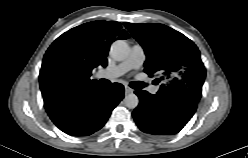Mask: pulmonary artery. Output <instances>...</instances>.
<instances>
[{
	"label": "pulmonary artery",
	"instance_id": "e3ab8cb5",
	"mask_svg": "<svg viewBox=\"0 0 248 158\" xmlns=\"http://www.w3.org/2000/svg\"><path fill=\"white\" fill-rule=\"evenodd\" d=\"M145 60V52L141 45L135 44L131 47L128 57L122 61L121 63L103 69L97 73V77L99 78H107V79H114L125 73L129 72L133 69H139ZM153 93L157 90L154 88Z\"/></svg>",
	"mask_w": 248,
	"mask_h": 158
}]
</instances>
